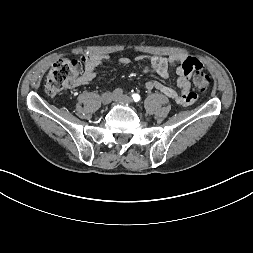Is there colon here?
I'll list each match as a JSON object with an SVG mask.
<instances>
[{"instance_id": "1", "label": "colon", "mask_w": 253, "mask_h": 253, "mask_svg": "<svg viewBox=\"0 0 253 253\" xmlns=\"http://www.w3.org/2000/svg\"><path fill=\"white\" fill-rule=\"evenodd\" d=\"M187 65L193 70V84L199 91H207L212 80L205 72L202 63L189 58ZM82 72V63L77 59L62 58L57 60L50 69L46 83L45 92L48 95H56L64 90Z\"/></svg>"}]
</instances>
